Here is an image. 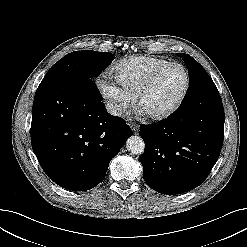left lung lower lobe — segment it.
I'll return each instance as SVG.
<instances>
[{
    "label": "left lung lower lobe",
    "instance_id": "1",
    "mask_svg": "<svg viewBox=\"0 0 247 247\" xmlns=\"http://www.w3.org/2000/svg\"><path fill=\"white\" fill-rule=\"evenodd\" d=\"M194 102L182 104L169 118L141 125L145 141L140 161L143 178L167 195L199 186L216 163L223 144L224 109L213 81L196 87Z\"/></svg>",
    "mask_w": 247,
    "mask_h": 247
}]
</instances>
